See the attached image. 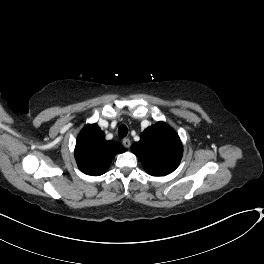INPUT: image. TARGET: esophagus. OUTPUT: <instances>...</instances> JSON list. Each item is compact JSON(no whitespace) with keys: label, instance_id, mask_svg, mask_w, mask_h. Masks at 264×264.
<instances>
[{"label":"esophagus","instance_id":"34e87169","mask_svg":"<svg viewBox=\"0 0 264 264\" xmlns=\"http://www.w3.org/2000/svg\"><path fill=\"white\" fill-rule=\"evenodd\" d=\"M122 142L126 148H129L131 146V141L128 138H124Z\"/></svg>","mask_w":264,"mask_h":264}]
</instances>
